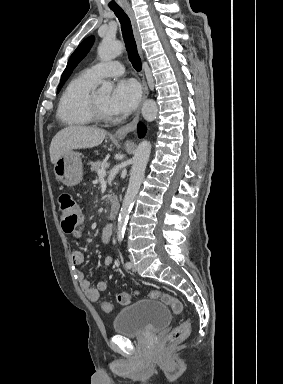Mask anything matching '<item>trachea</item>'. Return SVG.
Wrapping results in <instances>:
<instances>
[{"label": "trachea", "mask_w": 283, "mask_h": 384, "mask_svg": "<svg viewBox=\"0 0 283 384\" xmlns=\"http://www.w3.org/2000/svg\"><path fill=\"white\" fill-rule=\"evenodd\" d=\"M121 24V30L125 47L129 56V60L133 65V68L140 72L142 68L141 59L138 55L137 45L133 36V30L129 17L124 13L122 8H111Z\"/></svg>", "instance_id": "3493384b"}]
</instances>
